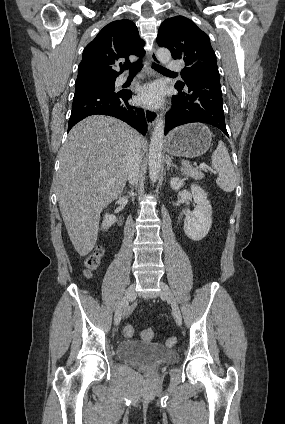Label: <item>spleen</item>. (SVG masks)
<instances>
[{
	"label": "spleen",
	"mask_w": 285,
	"mask_h": 424,
	"mask_svg": "<svg viewBox=\"0 0 285 424\" xmlns=\"http://www.w3.org/2000/svg\"><path fill=\"white\" fill-rule=\"evenodd\" d=\"M212 168L218 173L217 185L225 192H232L237 183V176L230 155L223 141L218 142L211 156Z\"/></svg>",
	"instance_id": "3e777b00"
}]
</instances>
